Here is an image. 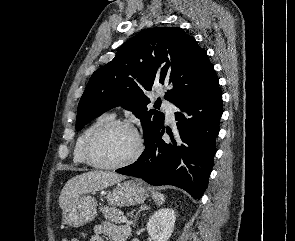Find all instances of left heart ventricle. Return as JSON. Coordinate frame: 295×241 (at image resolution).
I'll use <instances>...</instances> for the list:
<instances>
[{
  "instance_id": "left-heart-ventricle-1",
  "label": "left heart ventricle",
  "mask_w": 295,
  "mask_h": 241,
  "mask_svg": "<svg viewBox=\"0 0 295 241\" xmlns=\"http://www.w3.org/2000/svg\"><path fill=\"white\" fill-rule=\"evenodd\" d=\"M137 141L134 134L126 128H114L104 134L95 146L96 158L109 164L123 162L135 152Z\"/></svg>"
}]
</instances>
